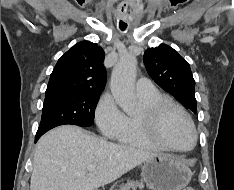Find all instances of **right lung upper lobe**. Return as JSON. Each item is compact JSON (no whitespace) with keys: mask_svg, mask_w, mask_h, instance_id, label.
Returning a JSON list of instances; mask_svg holds the SVG:
<instances>
[{"mask_svg":"<svg viewBox=\"0 0 234 190\" xmlns=\"http://www.w3.org/2000/svg\"><path fill=\"white\" fill-rule=\"evenodd\" d=\"M104 51L96 43L81 41L55 65L47 89L101 93L105 87Z\"/></svg>","mask_w":234,"mask_h":190,"instance_id":"cb5924a9","label":"right lung upper lobe"}]
</instances>
